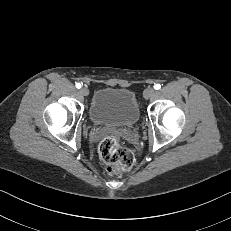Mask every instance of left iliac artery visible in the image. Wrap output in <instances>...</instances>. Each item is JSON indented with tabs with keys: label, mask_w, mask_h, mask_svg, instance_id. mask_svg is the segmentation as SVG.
Instances as JSON below:
<instances>
[{
	"label": "left iliac artery",
	"mask_w": 231,
	"mask_h": 231,
	"mask_svg": "<svg viewBox=\"0 0 231 231\" xmlns=\"http://www.w3.org/2000/svg\"><path fill=\"white\" fill-rule=\"evenodd\" d=\"M154 88H155L156 90H159V89L161 88V85H160V84H156V85L154 86Z\"/></svg>",
	"instance_id": "1"
}]
</instances>
